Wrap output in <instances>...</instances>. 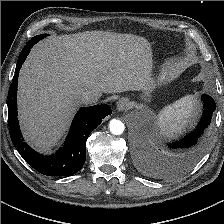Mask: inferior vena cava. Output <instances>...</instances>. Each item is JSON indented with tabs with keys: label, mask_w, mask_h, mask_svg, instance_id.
Segmentation results:
<instances>
[{
	"label": "inferior vena cava",
	"mask_w": 224,
	"mask_h": 224,
	"mask_svg": "<svg viewBox=\"0 0 224 224\" xmlns=\"http://www.w3.org/2000/svg\"><path fill=\"white\" fill-rule=\"evenodd\" d=\"M99 96L96 93L93 92H84L83 94L80 95L79 101L81 104H94L98 102Z\"/></svg>",
	"instance_id": "inferior-vena-cava-1"
}]
</instances>
